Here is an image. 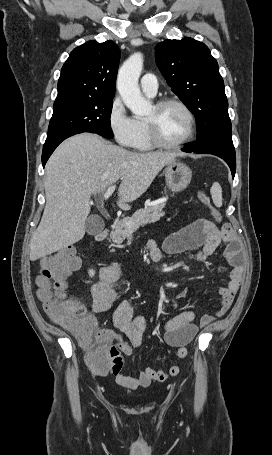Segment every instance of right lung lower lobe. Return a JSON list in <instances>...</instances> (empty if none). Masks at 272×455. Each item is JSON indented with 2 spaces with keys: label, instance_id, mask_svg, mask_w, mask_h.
<instances>
[{
  "label": "right lung lower lobe",
  "instance_id": "98d812e1",
  "mask_svg": "<svg viewBox=\"0 0 272 455\" xmlns=\"http://www.w3.org/2000/svg\"><path fill=\"white\" fill-rule=\"evenodd\" d=\"M78 133H83V132H68V133H63L57 136L49 137L46 139L44 147H43V152H42V164L43 167L45 166L48 158L52 154V152L55 150V148L66 138L73 136Z\"/></svg>",
  "mask_w": 272,
  "mask_h": 455
}]
</instances>
